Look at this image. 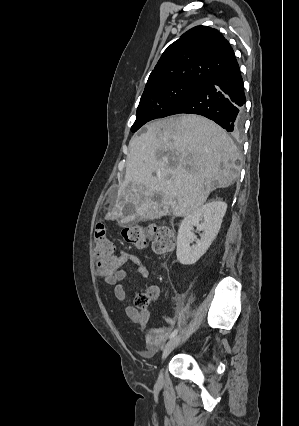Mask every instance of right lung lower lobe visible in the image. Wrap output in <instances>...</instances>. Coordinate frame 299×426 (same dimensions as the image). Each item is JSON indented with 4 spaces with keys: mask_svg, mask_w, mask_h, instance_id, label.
Wrapping results in <instances>:
<instances>
[{
    "mask_svg": "<svg viewBox=\"0 0 299 426\" xmlns=\"http://www.w3.org/2000/svg\"><path fill=\"white\" fill-rule=\"evenodd\" d=\"M245 101L243 80L236 62L172 105L160 118L181 113L198 114L215 121L228 132L237 133L242 128Z\"/></svg>",
    "mask_w": 299,
    "mask_h": 426,
    "instance_id": "right-lung-lower-lobe-1",
    "label": "right lung lower lobe"
}]
</instances>
